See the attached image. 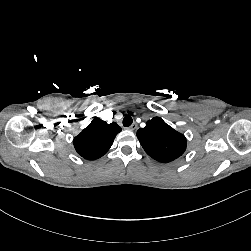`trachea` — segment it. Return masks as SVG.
<instances>
[{
  "label": "trachea",
  "instance_id": "trachea-1",
  "mask_svg": "<svg viewBox=\"0 0 251 251\" xmlns=\"http://www.w3.org/2000/svg\"><path fill=\"white\" fill-rule=\"evenodd\" d=\"M132 122H133V120H132L131 116L127 115L123 119V126L129 127V126H131Z\"/></svg>",
  "mask_w": 251,
  "mask_h": 251
}]
</instances>
